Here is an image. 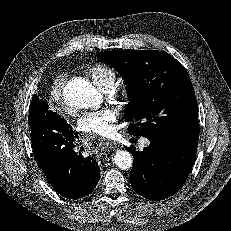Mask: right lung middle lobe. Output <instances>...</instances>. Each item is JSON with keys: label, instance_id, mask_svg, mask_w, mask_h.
<instances>
[{"label": "right lung middle lobe", "instance_id": "1", "mask_svg": "<svg viewBox=\"0 0 231 231\" xmlns=\"http://www.w3.org/2000/svg\"><path fill=\"white\" fill-rule=\"evenodd\" d=\"M41 103H43V100L39 98L38 99H32V102L30 104V108H29V118H28V124L31 126L33 125V122L35 121V111L37 109L38 105H41Z\"/></svg>", "mask_w": 231, "mask_h": 231}]
</instances>
